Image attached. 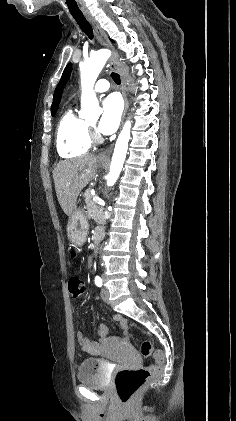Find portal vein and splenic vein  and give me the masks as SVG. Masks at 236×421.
Returning <instances> with one entry per match:
<instances>
[{
    "mask_svg": "<svg viewBox=\"0 0 236 421\" xmlns=\"http://www.w3.org/2000/svg\"><path fill=\"white\" fill-rule=\"evenodd\" d=\"M93 200H95V202H98V204H102V206H105L104 200H102V198H99V196H93Z\"/></svg>",
    "mask_w": 236,
    "mask_h": 421,
    "instance_id": "portal-vein-and-splenic-vein-1",
    "label": "portal vein and splenic vein"
}]
</instances>
